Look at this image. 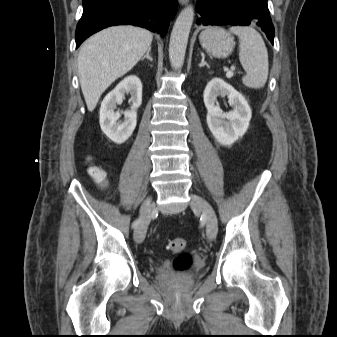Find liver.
<instances>
[{
    "label": "liver",
    "mask_w": 337,
    "mask_h": 337,
    "mask_svg": "<svg viewBox=\"0 0 337 337\" xmlns=\"http://www.w3.org/2000/svg\"><path fill=\"white\" fill-rule=\"evenodd\" d=\"M150 31L134 26H115L87 39L78 55L79 81L89 111L102 93L130 71L151 48Z\"/></svg>",
    "instance_id": "1"
}]
</instances>
